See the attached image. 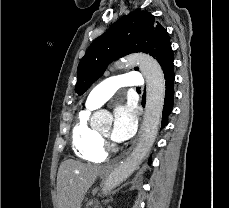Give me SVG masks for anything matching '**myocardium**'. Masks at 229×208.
Segmentation results:
<instances>
[{"label":"myocardium","instance_id":"myocardium-1","mask_svg":"<svg viewBox=\"0 0 229 208\" xmlns=\"http://www.w3.org/2000/svg\"><path fill=\"white\" fill-rule=\"evenodd\" d=\"M101 135H102L103 137H107V136L104 135V134H101ZM102 146H103V147H108V146H109V143H108V142H103V143H102ZM103 152H104V153H107V152H108V149H107V148H104V149H103Z\"/></svg>","mask_w":229,"mask_h":208}]
</instances>
